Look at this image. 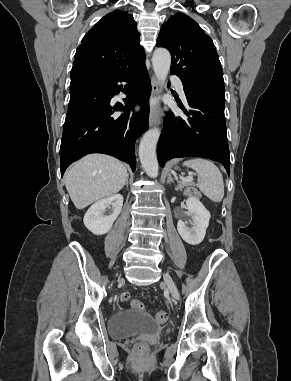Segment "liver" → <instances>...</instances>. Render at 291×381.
<instances>
[{"mask_svg": "<svg viewBox=\"0 0 291 381\" xmlns=\"http://www.w3.org/2000/svg\"><path fill=\"white\" fill-rule=\"evenodd\" d=\"M128 173L114 157L91 154L80 159L65 176L66 189L77 209L119 192Z\"/></svg>", "mask_w": 291, "mask_h": 381, "instance_id": "liver-1", "label": "liver"}]
</instances>
